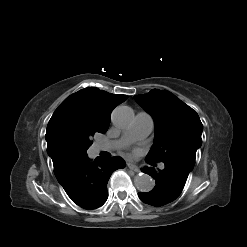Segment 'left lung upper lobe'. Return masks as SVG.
Returning a JSON list of instances; mask_svg holds the SVG:
<instances>
[{
  "instance_id": "5c2ea615",
  "label": "left lung upper lobe",
  "mask_w": 247,
  "mask_h": 247,
  "mask_svg": "<svg viewBox=\"0 0 247 247\" xmlns=\"http://www.w3.org/2000/svg\"><path fill=\"white\" fill-rule=\"evenodd\" d=\"M134 99L155 122V143L146 160L174 163L190 172L202 143L198 114L169 91L153 89Z\"/></svg>"
}]
</instances>
